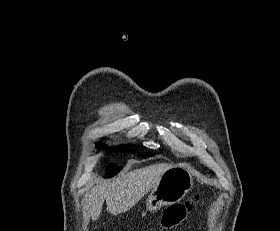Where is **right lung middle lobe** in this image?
<instances>
[{"mask_svg": "<svg viewBox=\"0 0 280 231\" xmlns=\"http://www.w3.org/2000/svg\"><path fill=\"white\" fill-rule=\"evenodd\" d=\"M98 149H104L106 148V145L104 144H98L97 145ZM118 150H121V148H117ZM150 156H153V154H149V153H142V154H139L138 157H143V158H148ZM122 169V167H114V166H111L108 168V173L105 177H112L114 176L115 174H117L120 170Z\"/></svg>", "mask_w": 280, "mask_h": 231, "instance_id": "1", "label": "right lung middle lobe"}]
</instances>
